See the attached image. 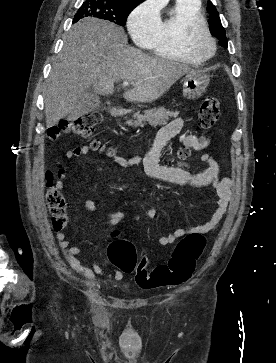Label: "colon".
Masks as SVG:
<instances>
[{
  "instance_id": "1",
  "label": "colon",
  "mask_w": 276,
  "mask_h": 363,
  "mask_svg": "<svg viewBox=\"0 0 276 363\" xmlns=\"http://www.w3.org/2000/svg\"><path fill=\"white\" fill-rule=\"evenodd\" d=\"M220 115V102L216 97H207L201 103L198 121L203 130L215 126ZM101 117L96 112L83 114L73 120L63 121L59 125L48 129V137L52 140L61 133H73L82 137H89L95 131ZM94 149H101L102 143L98 139L92 141ZM181 156L187 155V150H180ZM55 175L47 172L48 186L47 203L52 217L54 231H62L67 224V206L61 192L54 186ZM206 241L200 233H192L182 238L175 246L167 264L148 269V259L137 258L135 245L130 241H113L107 248L110 262L125 273L135 272L137 285L143 289L157 287L178 286L190 279L195 269L197 259L201 256Z\"/></svg>"
}]
</instances>
